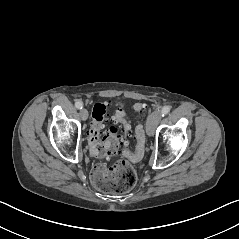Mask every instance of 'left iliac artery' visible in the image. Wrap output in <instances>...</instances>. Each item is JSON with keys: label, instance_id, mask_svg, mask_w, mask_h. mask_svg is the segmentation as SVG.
<instances>
[{"label": "left iliac artery", "instance_id": "44dca946", "mask_svg": "<svg viewBox=\"0 0 239 239\" xmlns=\"http://www.w3.org/2000/svg\"><path fill=\"white\" fill-rule=\"evenodd\" d=\"M170 112V107L169 106H164L161 110L162 116L167 115Z\"/></svg>", "mask_w": 239, "mask_h": 239}]
</instances>
